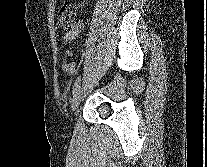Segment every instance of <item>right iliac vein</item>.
<instances>
[{"label":"right iliac vein","mask_w":207,"mask_h":167,"mask_svg":"<svg viewBox=\"0 0 207 167\" xmlns=\"http://www.w3.org/2000/svg\"><path fill=\"white\" fill-rule=\"evenodd\" d=\"M83 90L81 87L77 89V91L74 93L72 101H71V108L72 110H76L81 102L82 99Z\"/></svg>","instance_id":"right-iliac-vein-1"}]
</instances>
